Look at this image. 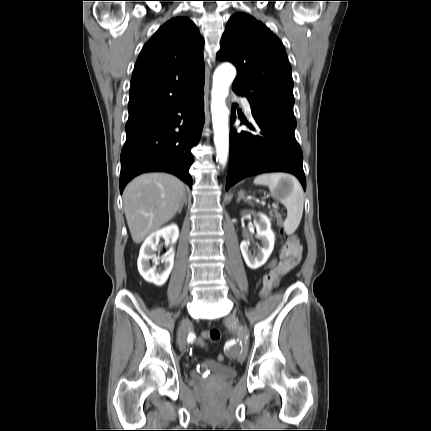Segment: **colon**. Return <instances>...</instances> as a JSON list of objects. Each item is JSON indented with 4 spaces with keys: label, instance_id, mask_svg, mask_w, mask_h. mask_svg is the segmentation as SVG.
<instances>
[{
    "label": "colon",
    "instance_id": "colon-1",
    "mask_svg": "<svg viewBox=\"0 0 431 431\" xmlns=\"http://www.w3.org/2000/svg\"><path fill=\"white\" fill-rule=\"evenodd\" d=\"M274 216L277 219L279 225L282 226L281 217L277 213H274ZM280 232H281V237H284V240L286 242L288 240H293V236H295V235H291V236L286 235V232H284V227H280ZM273 263H277L276 259L274 258L269 259L268 267L270 268ZM260 285H261V282H258L257 288H260ZM254 299H257V296H254ZM220 338H221V333L218 329H210V330H205L202 333V338L200 336H197L195 338V343L197 344L198 349L203 350L206 347L204 340H209L211 342H218ZM219 360H220V363H224V356L220 355Z\"/></svg>",
    "mask_w": 431,
    "mask_h": 431
}]
</instances>
